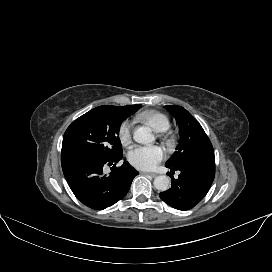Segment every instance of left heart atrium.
Instances as JSON below:
<instances>
[{
    "instance_id": "obj_1",
    "label": "left heart atrium",
    "mask_w": 272,
    "mask_h": 272,
    "mask_svg": "<svg viewBox=\"0 0 272 272\" xmlns=\"http://www.w3.org/2000/svg\"><path fill=\"white\" fill-rule=\"evenodd\" d=\"M164 158L159 146H135L128 153L129 162L141 170H152Z\"/></svg>"
}]
</instances>
